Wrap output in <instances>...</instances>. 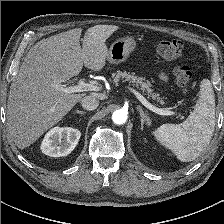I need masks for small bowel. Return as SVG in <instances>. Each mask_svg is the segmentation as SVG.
<instances>
[{"label":"small bowel","instance_id":"small-bowel-1","mask_svg":"<svg viewBox=\"0 0 224 224\" xmlns=\"http://www.w3.org/2000/svg\"><path fill=\"white\" fill-rule=\"evenodd\" d=\"M160 78L164 81H166L168 79L167 75H165V74H161Z\"/></svg>","mask_w":224,"mask_h":224}]
</instances>
